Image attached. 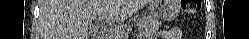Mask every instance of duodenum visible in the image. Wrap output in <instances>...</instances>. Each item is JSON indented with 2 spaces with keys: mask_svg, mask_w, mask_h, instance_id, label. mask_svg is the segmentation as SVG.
Instances as JSON below:
<instances>
[{
  "mask_svg": "<svg viewBox=\"0 0 249 39\" xmlns=\"http://www.w3.org/2000/svg\"><path fill=\"white\" fill-rule=\"evenodd\" d=\"M106 38H107V37H105V35H102V36H101V39H106Z\"/></svg>",
  "mask_w": 249,
  "mask_h": 39,
  "instance_id": "1",
  "label": "duodenum"
}]
</instances>
